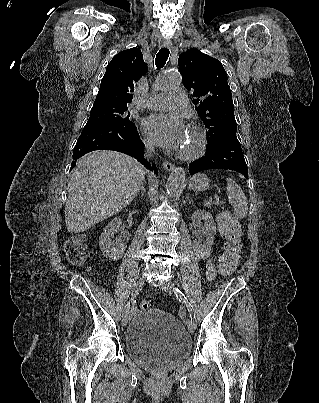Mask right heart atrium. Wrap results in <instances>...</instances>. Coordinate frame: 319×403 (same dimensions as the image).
<instances>
[{"label": "right heart atrium", "mask_w": 319, "mask_h": 403, "mask_svg": "<svg viewBox=\"0 0 319 403\" xmlns=\"http://www.w3.org/2000/svg\"><path fill=\"white\" fill-rule=\"evenodd\" d=\"M146 145L150 147V146H151V142L148 141V140H146Z\"/></svg>", "instance_id": "d8ad5b80"}]
</instances>
